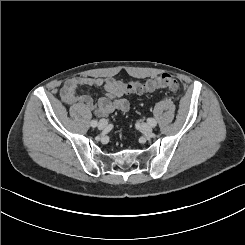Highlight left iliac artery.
<instances>
[{"instance_id":"left-iliac-artery-1","label":"left iliac artery","mask_w":245,"mask_h":245,"mask_svg":"<svg viewBox=\"0 0 245 245\" xmlns=\"http://www.w3.org/2000/svg\"><path fill=\"white\" fill-rule=\"evenodd\" d=\"M147 122H148V124H149L150 126H152V127H155L156 124H157L156 120L153 119V118H148V119H147Z\"/></svg>"}]
</instances>
